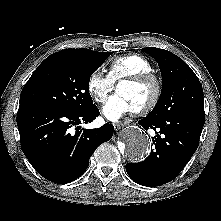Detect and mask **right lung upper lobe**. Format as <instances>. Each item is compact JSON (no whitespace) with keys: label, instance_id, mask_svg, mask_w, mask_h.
<instances>
[{"label":"right lung upper lobe","instance_id":"obj_1","mask_svg":"<svg viewBox=\"0 0 221 221\" xmlns=\"http://www.w3.org/2000/svg\"><path fill=\"white\" fill-rule=\"evenodd\" d=\"M99 52L89 49H65L57 52L60 55H69L78 58H92L98 55Z\"/></svg>","mask_w":221,"mask_h":221}]
</instances>
